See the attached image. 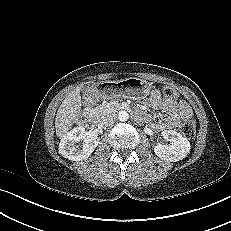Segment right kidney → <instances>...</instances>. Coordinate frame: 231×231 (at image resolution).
Returning a JSON list of instances; mask_svg holds the SVG:
<instances>
[{
	"mask_svg": "<svg viewBox=\"0 0 231 231\" xmlns=\"http://www.w3.org/2000/svg\"><path fill=\"white\" fill-rule=\"evenodd\" d=\"M83 141V145H77ZM99 138L85 131L84 125H79L68 132L59 144V153L69 160L87 159L99 144Z\"/></svg>",
	"mask_w": 231,
	"mask_h": 231,
	"instance_id": "obj_1",
	"label": "right kidney"
}]
</instances>
